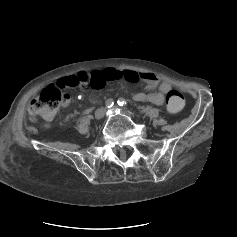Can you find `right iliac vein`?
Listing matches in <instances>:
<instances>
[{
    "label": "right iliac vein",
    "instance_id": "right-iliac-vein-1",
    "mask_svg": "<svg viewBox=\"0 0 237 237\" xmlns=\"http://www.w3.org/2000/svg\"><path fill=\"white\" fill-rule=\"evenodd\" d=\"M105 114V110L103 108H99L95 111L96 120H101Z\"/></svg>",
    "mask_w": 237,
    "mask_h": 237
}]
</instances>
